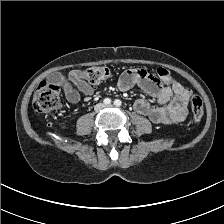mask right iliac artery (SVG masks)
I'll return each instance as SVG.
<instances>
[{"instance_id": "82829eb1", "label": "right iliac artery", "mask_w": 224, "mask_h": 224, "mask_svg": "<svg viewBox=\"0 0 224 224\" xmlns=\"http://www.w3.org/2000/svg\"><path fill=\"white\" fill-rule=\"evenodd\" d=\"M103 103L105 105H110L111 104V99L110 98H105L104 101H103Z\"/></svg>"}]
</instances>
